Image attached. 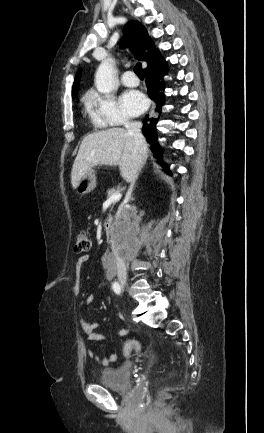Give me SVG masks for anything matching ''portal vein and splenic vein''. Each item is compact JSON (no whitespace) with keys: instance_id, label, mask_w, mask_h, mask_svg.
<instances>
[{"instance_id":"18ae733b","label":"portal vein and splenic vein","mask_w":264,"mask_h":433,"mask_svg":"<svg viewBox=\"0 0 264 433\" xmlns=\"http://www.w3.org/2000/svg\"><path fill=\"white\" fill-rule=\"evenodd\" d=\"M121 197L122 195L119 192H115L108 198V201H112V202L119 201Z\"/></svg>"}]
</instances>
